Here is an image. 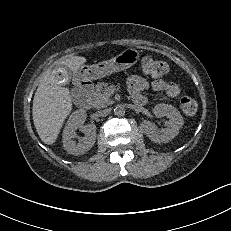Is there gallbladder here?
I'll return each instance as SVG.
<instances>
[{
	"instance_id": "bac80fb5",
	"label": "gallbladder",
	"mask_w": 231,
	"mask_h": 231,
	"mask_svg": "<svg viewBox=\"0 0 231 231\" xmlns=\"http://www.w3.org/2000/svg\"><path fill=\"white\" fill-rule=\"evenodd\" d=\"M72 79V72L65 65H58L49 73V80L54 85L65 86Z\"/></svg>"
}]
</instances>
